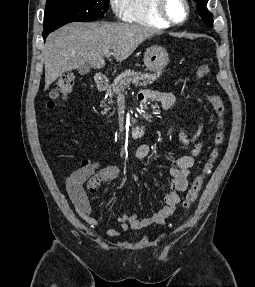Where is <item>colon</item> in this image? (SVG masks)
I'll use <instances>...</instances> for the list:
<instances>
[{"mask_svg":"<svg viewBox=\"0 0 255 287\" xmlns=\"http://www.w3.org/2000/svg\"><path fill=\"white\" fill-rule=\"evenodd\" d=\"M209 73V67L202 65L198 67L196 74L199 79L205 78ZM74 88V75L72 73H64L55 82L54 88L51 92V100L48 103V107L51 110L61 106L62 101L73 91ZM207 98L212 103L214 110L218 116L217 131L214 136L213 147L210 154L201 169V172L193 180L186 197L183 201V209L189 208V206L196 200L205 177L210 173L219 154V148L223 143V115L224 105L220 97L216 95H207Z\"/></svg>","mask_w":255,"mask_h":287,"instance_id":"1","label":"colon"}]
</instances>
